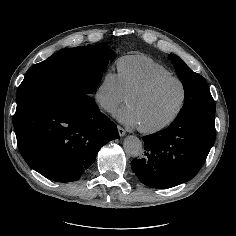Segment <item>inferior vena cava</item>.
<instances>
[{
	"mask_svg": "<svg viewBox=\"0 0 236 236\" xmlns=\"http://www.w3.org/2000/svg\"><path fill=\"white\" fill-rule=\"evenodd\" d=\"M97 100L101 105H104L106 103V96H102L100 93L97 94Z\"/></svg>",
	"mask_w": 236,
	"mask_h": 236,
	"instance_id": "obj_1",
	"label": "inferior vena cava"
}]
</instances>
